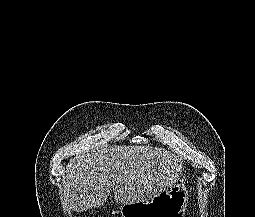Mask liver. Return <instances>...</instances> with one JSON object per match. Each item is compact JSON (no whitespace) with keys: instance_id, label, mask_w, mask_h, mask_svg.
Segmentation results:
<instances>
[{"instance_id":"6515ba94","label":"liver","mask_w":255,"mask_h":217,"mask_svg":"<svg viewBox=\"0 0 255 217\" xmlns=\"http://www.w3.org/2000/svg\"><path fill=\"white\" fill-rule=\"evenodd\" d=\"M182 160L150 146H108L71 158L65 171L64 206L84 212L107 201L111 188L120 204L144 202L173 186Z\"/></svg>"}]
</instances>
